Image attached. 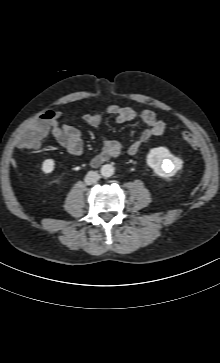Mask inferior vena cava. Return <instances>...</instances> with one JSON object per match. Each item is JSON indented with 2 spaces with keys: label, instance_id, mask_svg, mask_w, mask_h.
<instances>
[{
  "label": "inferior vena cava",
  "instance_id": "1",
  "mask_svg": "<svg viewBox=\"0 0 220 363\" xmlns=\"http://www.w3.org/2000/svg\"><path fill=\"white\" fill-rule=\"evenodd\" d=\"M100 176L96 171H89L85 176V183L87 185L95 184L99 180Z\"/></svg>",
  "mask_w": 220,
  "mask_h": 363
}]
</instances>
